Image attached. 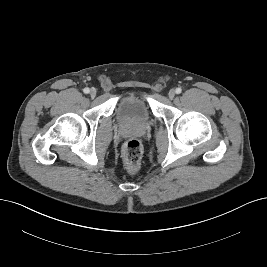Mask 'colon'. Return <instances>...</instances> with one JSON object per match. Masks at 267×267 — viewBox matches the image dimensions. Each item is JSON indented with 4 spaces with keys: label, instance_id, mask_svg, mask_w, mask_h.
I'll list each match as a JSON object with an SVG mask.
<instances>
[{
    "label": "colon",
    "instance_id": "obj_1",
    "mask_svg": "<svg viewBox=\"0 0 267 267\" xmlns=\"http://www.w3.org/2000/svg\"><path fill=\"white\" fill-rule=\"evenodd\" d=\"M142 146L136 139L128 140L123 147V160L130 173H137L141 167Z\"/></svg>",
    "mask_w": 267,
    "mask_h": 267
}]
</instances>
